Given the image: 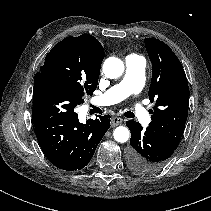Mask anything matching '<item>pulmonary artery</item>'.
<instances>
[{"label": "pulmonary artery", "mask_w": 211, "mask_h": 211, "mask_svg": "<svg viewBox=\"0 0 211 211\" xmlns=\"http://www.w3.org/2000/svg\"><path fill=\"white\" fill-rule=\"evenodd\" d=\"M126 72L122 81L101 96L95 97L93 103L97 106H106L118 103L131 94L139 93L145 84V60L137 55H129L125 59ZM137 119L146 122L149 114L142 105H138L134 112Z\"/></svg>", "instance_id": "1"}]
</instances>
